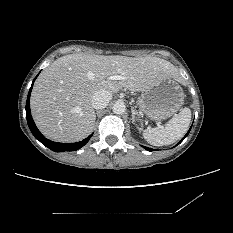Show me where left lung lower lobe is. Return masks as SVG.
Here are the masks:
<instances>
[{
	"label": "left lung lower lobe",
	"instance_id": "left-lung-lower-lobe-1",
	"mask_svg": "<svg viewBox=\"0 0 233 233\" xmlns=\"http://www.w3.org/2000/svg\"><path fill=\"white\" fill-rule=\"evenodd\" d=\"M191 129V128H190ZM190 129H189V131L187 132V134L181 139V141L179 142V143H181L186 137H187V135L189 134V132H190ZM178 143V144H179ZM177 144V145H178ZM143 148L144 149H146V150H148V151H153V149L152 148H148V147H145V146H143Z\"/></svg>",
	"mask_w": 233,
	"mask_h": 233
}]
</instances>
